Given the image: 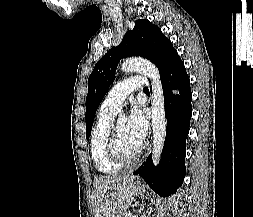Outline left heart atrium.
Here are the masks:
<instances>
[{
  "mask_svg": "<svg viewBox=\"0 0 253 217\" xmlns=\"http://www.w3.org/2000/svg\"><path fill=\"white\" fill-rule=\"evenodd\" d=\"M127 127L131 136L142 145L147 136L149 125L139 106L135 105L131 109Z\"/></svg>",
  "mask_w": 253,
  "mask_h": 217,
  "instance_id": "left-heart-atrium-1",
  "label": "left heart atrium"
}]
</instances>
